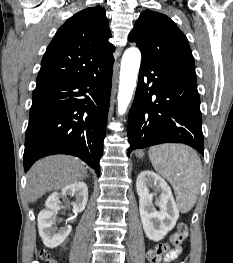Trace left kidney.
Segmentation results:
<instances>
[{
    "mask_svg": "<svg viewBox=\"0 0 233 263\" xmlns=\"http://www.w3.org/2000/svg\"><path fill=\"white\" fill-rule=\"evenodd\" d=\"M150 188L160 193V198L156 201L160 208L159 211L153 207V194L149 192ZM136 190L139 196V211L144 232L150 240L158 242L174 228L179 218V211L171 189L161 176L146 170L138 175Z\"/></svg>",
    "mask_w": 233,
    "mask_h": 263,
    "instance_id": "left-kidney-1",
    "label": "left kidney"
}]
</instances>
